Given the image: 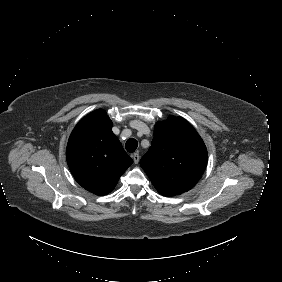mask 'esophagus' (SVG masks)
<instances>
[{"label": "esophagus", "instance_id": "obj_1", "mask_svg": "<svg viewBox=\"0 0 282 282\" xmlns=\"http://www.w3.org/2000/svg\"><path fill=\"white\" fill-rule=\"evenodd\" d=\"M133 160H134L135 164H137L139 162V154L138 153L133 154Z\"/></svg>", "mask_w": 282, "mask_h": 282}]
</instances>
